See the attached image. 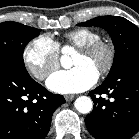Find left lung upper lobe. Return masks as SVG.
I'll return each mask as SVG.
<instances>
[{
	"label": "left lung upper lobe",
	"mask_w": 139,
	"mask_h": 139,
	"mask_svg": "<svg viewBox=\"0 0 139 139\" xmlns=\"http://www.w3.org/2000/svg\"><path fill=\"white\" fill-rule=\"evenodd\" d=\"M78 26H99L111 36L115 46V56L106 80L126 63L139 58V28L127 19L118 16H100Z\"/></svg>",
	"instance_id": "5c2ea615"
}]
</instances>
